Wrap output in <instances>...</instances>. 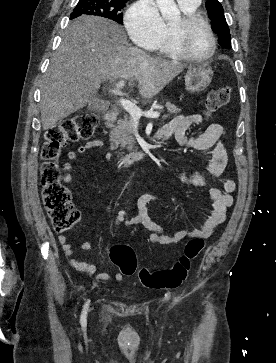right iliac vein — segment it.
Instances as JSON below:
<instances>
[{
  "mask_svg": "<svg viewBox=\"0 0 276 363\" xmlns=\"http://www.w3.org/2000/svg\"><path fill=\"white\" fill-rule=\"evenodd\" d=\"M88 306H89V304H88V302H87V303L84 305L83 312H82V316H85V315H86L87 310H88Z\"/></svg>",
  "mask_w": 276,
  "mask_h": 363,
  "instance_id": "1",
  "label": "right iliac vein"
}]
</instances>
